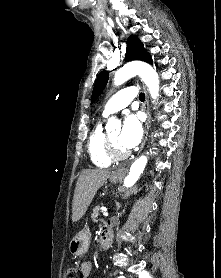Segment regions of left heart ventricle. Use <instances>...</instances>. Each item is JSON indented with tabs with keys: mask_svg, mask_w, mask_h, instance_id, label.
I'll use <instances>...</instances> for the list:
<instances>
[{
	"mask_svg": "<svg viewBox=\"0 0 221 278\" xmlns=\"http://www.w3.org/2000/svg\"><path fill=\"white\" fill-rule=\"evenodd\" d=\"M119 135H120V131L119 130H115V131H112V132L109 133L110 139H111V141H112L116 151L123 152L126 149L123 148L121 146V144L119 143Z\"/></svg>",
	"mask_w": 221,
	"mask_h": 278,
	"instance_id": "obj_1",
	"label": "left heart ventricle"
}]
</instances>
